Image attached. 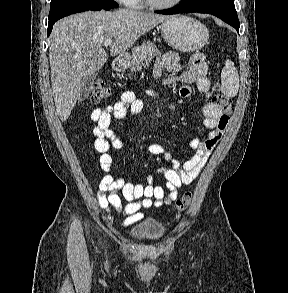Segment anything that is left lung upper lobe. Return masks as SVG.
Wrapping results in <instances>:
<instances>
[{
	"label": "left lung upper lobe",
	"mask_w": 288,
	"mask_h": 293,
	"mask_svg": "<svg viewBox=\"0 0 288 293\" xmlns=\"http://www.w3.org/2000/svg\"><path fill=\"white\" fill-rule=\"evenodd\" d=\"M180 3L198 6H217L229 11L236 12L233 0H182Z\"/></svg>",
	"instance_id": "5c2ea615"
}]
</instances>
